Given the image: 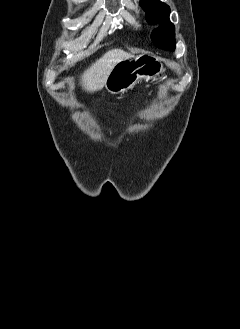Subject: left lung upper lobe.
<instances>
[{
  "label": "left lung upper lobe",
  "instance_id": "left-lung-upper-lobe-1",
  "mask_svg": "<svg viewBox=\"0 0 240 329\" xmlns=\"http://www.w3.org/2000/svg\"><path fill=\"white\" fill-rule=\"evenodd\" d=\"M140 5L146 12V20L151 24H160L152 31L151 39L159 48L174 50L175 26L169 20L170 8L158 0H142Z\"/></svg>",
  "mask_w": 240,
  "mask_h": 329
}]
</instances>
